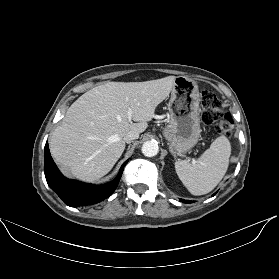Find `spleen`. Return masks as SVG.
<instances>
[{"mask_svg":"<svg viewBox=\"0 0 279 279\" xmlns=\"http://www.w3.org/2000/svg\"><path fill=\"white\" fill-rule=\"evenodd\" d=\"M231 154L226 136H219L197 161L179 160L175 170L183 185L193 195L211 192L224 177Z\"/></svg>","mask_w":279,"mask_h":279,"instance_id":"obj_1","label":"spleen"}]
</instances>
